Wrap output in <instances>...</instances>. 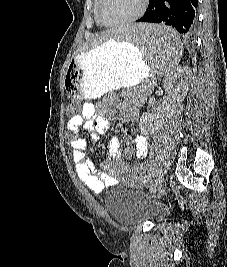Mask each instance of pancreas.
<instances>
[{
    "label": "pancreas",
    "instance_id": "1",
    "mask_svg": "<svg viewBox=\"0 0 227 267\" xmlns=\"http://www.w3.org/2000/svg\"><path fill=\"white\" fill-rule=\"evenodd\" d=\"M138 90L146 92L147 94H149L151 92V84L149 83V81L144 80L142 82L141 86L137 87Z\"/></svg>",
    "mask_w": 227,
    "mask_h": 267
}]
</instances>
